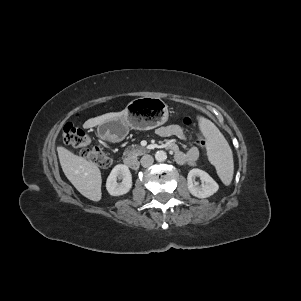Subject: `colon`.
<instances>
[{
    "mask_svg": "<svg viewBox=\"0 0 301 301\" xmlns=\"http://www.w3.org/2000/svg\"><path fill=\"white\" fill-rule=\"evenodd\" d=\"M183 123L190 125L192 120L189 117L184 118ZM62 138L64 142L76 148L81 149V156L94 163L101 168H107L111 164V160L108 155L97 146H90V138L79 127H76L73 123H66L62 129ZM197 144L204 148L205 140L202 136H198Z\"/></svg>",
    "mask_w": 301,
    "mask_h": 301,
    "instance_id": "1",
    "label": "colon"
}]
</instances>
